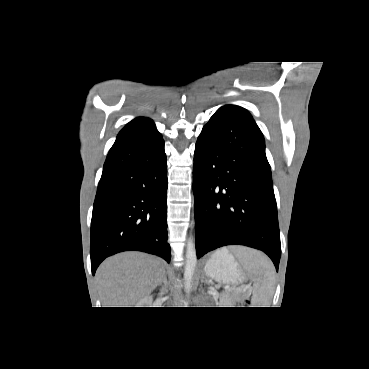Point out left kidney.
Segmentation results:
<instances>
[{
  "instance_id": "1",
  "label": "left kidney",
  "mask_w": 369,
  "mask_h": 369,
  "mask_svg": "<svg viewBox=\"0 0 369 369\" xmlns=\"http://www.w3.org/2000/svg\"><path fill=\"white\" fill-rule=\"evenodd\" d=\"M220 306L221 307H231V302H230V296H228L227 294H221L220 297Z\"/></svg>"
}]
</instances>
